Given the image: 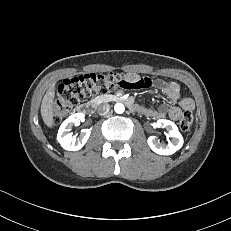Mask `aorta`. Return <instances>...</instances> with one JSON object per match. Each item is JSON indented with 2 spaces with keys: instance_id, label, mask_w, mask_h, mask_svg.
Returning a JSON list of instances; mask_svg holds the SVG:
<instances>
[{
  "instance_id": "1",
  "label": "aorta",
  "mask_w": 231,
  "mask_h": 231,
  "mask_svg": "<svg viewBox=\"0 0 231 231\" xmlns=\"http://www.w3.org/2000/svg\"><path fill=\"white\" fill-rule=\"evenodd\" d=\"M114 110L118 114H122L125 111V107L122 103H117L114 106Z\"/></svg>"
}]
</instances>
